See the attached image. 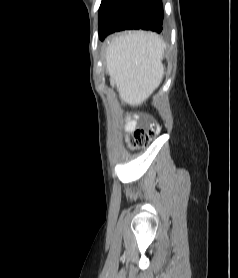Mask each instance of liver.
<instances>
[{"mask_svg": "<svg viewBox=\"0 0 238 278\" xmlns=\"http://www.w3.org/2000/svg\"><path fill=\"white\" fill-rule=\"evenodd\" d=\"M165 47L157 34L146 31L121 34L108 43L107 73L123 103L139 106L159 87Z\"/></svg>", "mask_w": 238, "mask_h": 278, "instance_id": "obj_1", "label": "liver"}]
</instances>
